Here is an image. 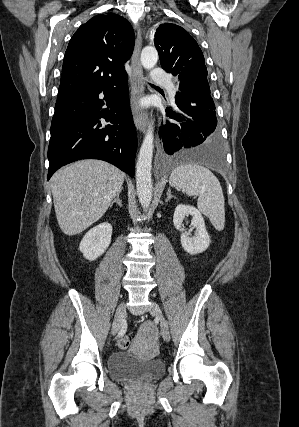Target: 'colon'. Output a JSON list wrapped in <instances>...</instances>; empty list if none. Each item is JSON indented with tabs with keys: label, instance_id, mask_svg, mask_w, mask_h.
I'll return each instance as SVG.
<instances>
[{
	"label": "colon",
	"instance_id": "colon-1",
	"mask_svg": "<svg viewBox=\"0 0 299 427\" xmlns=\"http://www.w3.org/2000/svg\"><path fill=\"white\" fill-rule=\"evenodd\" d=\"M129 345H130V338L128 336H122L118 340V346L121 349H127L129 347Z\"/></svg>",
	"mask_w": 299,
	"mask_h": 427
}]
</instances>
